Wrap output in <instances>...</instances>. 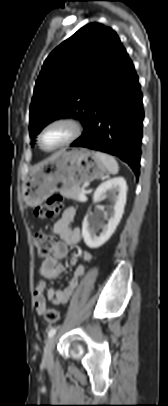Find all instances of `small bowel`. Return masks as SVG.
Listing matches in <instances>:
<instances>
[{"label": "small bowel", "mask_w": 168, "mask_h": 406, "mask_svg": "<svg viewBox=\"0 0 168 406\" xmlns=\"http://www.w3.org/2000/svg\"><path fill=\"white\" fill-rule=\"evenodd\" d=\"M74 217L75 210L71 207L67 208L52 226V232L58 236L59 240L52 253L38 268V274L42 278L34 290V299L38 311H41L44 307L45 281L56 279L64 272L65 268L61 260L67 256L69 247L77 244L81 240L80 230L71 226ZM92 258V254L88 251H84L80 255H74L70 258V264L73 265L75 269L73 276L67 279L65 288H49L46 292L47 299L52 305H63L71 298L78 287L79 278L85 274V263L90 262Z\"/></svg>", "instance_id": "c3829d8e"}]
</instances>
